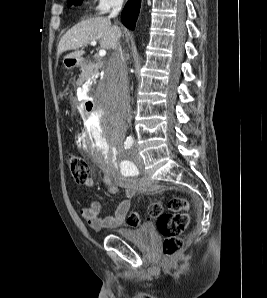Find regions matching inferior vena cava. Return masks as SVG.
<instances>
[{
    "instance_id": "1",
    "label": "inferior vena cava",
    "mask_w": 267,
    "mask_h": 298,
    "mask_svg": "<svg viewBox=\"0 0 267 298\" xmlns=\"http://www.w3.org/2000/svg\"><path fill=\"white\" fill-rule=\"evenodd\" d=\"M123 5V0H113V8L109 15L110 18H115L118 16ZM128 57L124 55L121 45L119 42L114 47V53L110 59V66L118 71V99L119 106L122 115L128 120L131 121V106H130V93H129V82H128V72L126 66V59Z\"/></svg>"
}]
</instances>
